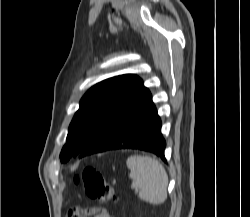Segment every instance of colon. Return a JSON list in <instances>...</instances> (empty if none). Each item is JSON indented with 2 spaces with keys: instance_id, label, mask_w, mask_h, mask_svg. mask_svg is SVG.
<instances>
[{
  "instance_id": "5ec220e1",
  "label": "colon",
  "mask_w": 250,
  "mask_h": 217,
  "mask_svg": "<svg viewBox=\"0 0 250 217\" xmlns=\"http://www.w3.org/2000/svg\"><path fill=\"white\" fill-rule=\"evenodd\" d=\"M74 181L76 183L79 181L83 182L85 192L91 199L99 200L102 203H109L115 199V192L111 183L103 173L94 167H85L81 176L75 177ZM78 211L81 213L90 212L89 209L82 208Z\"/></svg>"
}]
</instances>
